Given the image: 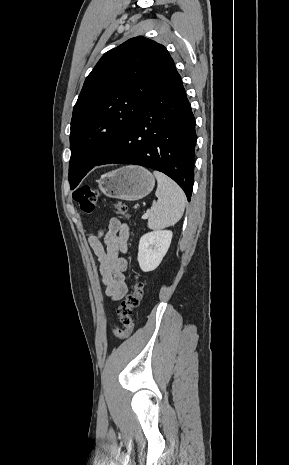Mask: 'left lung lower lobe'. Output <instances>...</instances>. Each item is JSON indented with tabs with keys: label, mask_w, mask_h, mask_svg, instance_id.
<instances>
[{
	"label": "left lung lower lobe",
	"mask_w": 289,
	"mask_h": 465,
	"mask_svg": "<svg viewBox=\"0 0 289 465\" xmlns=\"http://www.w3.org/2000/svg\"><path fill=\"white\" fill-rule=\"evenodd\" d=\"M196 132L191 106L176 71L145 99L135 119L95 165L131 163L171 177L191 199Z\"/></svg>",
	"instance_id": "0a47b994"
}]
</instances>
